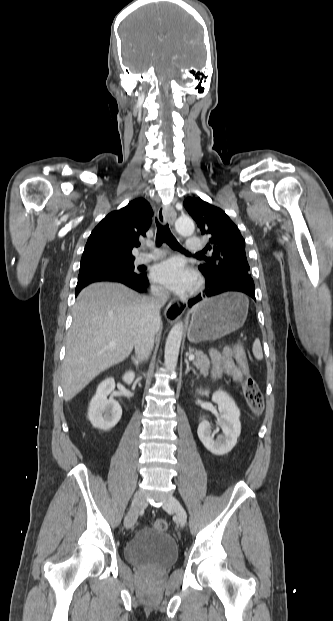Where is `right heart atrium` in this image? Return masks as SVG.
I'll return each instance as SVG.
<instances>
[{
    "mask_svg": "<svg viewBox=\"0 0 333 621\" xmlns=\"http://www.w3.org/2000/svg\"><path fill=\"white\" fill-rule=\"evenodd\" d=\"M154 292H155L156 294H160V293H161V291H160L158 288H154Z\"/></svg>",
    "mask_w": 333,
    "mask_h": 621,
    "instance_id": "d8ad5b80",
    "label": "right heart atrium"
}]
</instances>
